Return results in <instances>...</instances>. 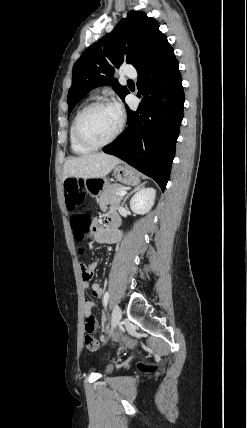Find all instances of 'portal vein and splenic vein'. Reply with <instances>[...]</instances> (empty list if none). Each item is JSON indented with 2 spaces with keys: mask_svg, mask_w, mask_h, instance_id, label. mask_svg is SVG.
<instances>
[{
  "mask_svg": "<svg viewBox=\"0 0 247 428\" xmlns=\"http://www.w3.org/2000/svg\"><path fill=\"white\" fill-rule=\"evenodd\" d=\"M126 193L127 191L123 189V190H120L117 194L118 196H124Z\"/></svg>",
  "mask_w": 247,
  "mask_h": 428,
  "instance_id": "portal-vein-and-splenic-vein-1",
  "label": "portal vein and splenic vein"
}]
</instances>
